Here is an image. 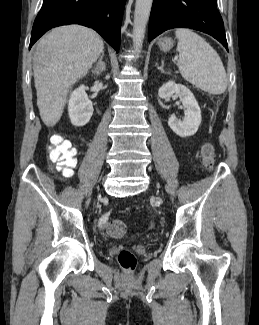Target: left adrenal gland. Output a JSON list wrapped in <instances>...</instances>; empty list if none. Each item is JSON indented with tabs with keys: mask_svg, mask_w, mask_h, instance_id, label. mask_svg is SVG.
I'll return each instance as SVG.
<instances>
[{
	"mask_svg": "<svg viewBox=\"0 0 259 325\" xmlns=\"http://www.w3.org/2000/svg\"><path fill=\"white\" fill-rule=\"evenodd\" d=\"M163 67H164V61L162 60V61H161V66H160V67H157V69H158L161 73H166V72L164 71Z\"/></svg>",
	"mask_w": 259,
	"mask_h": 325,
	"instance_id": "a2214340",
	"label": "left adrenal gland"
}]
</instances>
